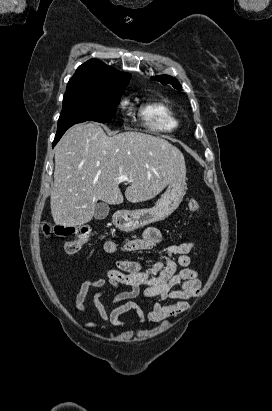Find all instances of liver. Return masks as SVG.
Segmentation results:
<instances>
[{"label": "liver", "mask_w": 272, "mask_h": 411, "mask_svg": "<svg viewBox=\"0 0 272 411\" xmlns=\"http://www.w3.org/2000/svg\"><path fill=\"white\" fill-rule=\"evenodd\" d=\"M121 174L130 180L125 197L138 203L156 197L169 183L186 179L181 151L167 140L140 132L107 136L97 123L70 128L55 148L51 214L56 225L91 221L98 200L121 204Z\"/></svg>", "instance_id": "1"}]
</instances>
